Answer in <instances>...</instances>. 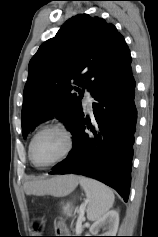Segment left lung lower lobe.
Returning <instances> with one entry per match:
<instances>
[{"instance_id": "0a47b994", "label": "left lung lower lobe", "mask_w": 158, "mask_h": 237, "mask_svg": "<svg viewBox=\"0 0 158 237\" xmlns=\"http://www.w3.org/2000/svg\"><path fill=\"white\" fill-rule=\"evenodd\" d=\"M131 64V63H130ZM124 66L93 95L94 120L80 121L73 149L50 174H79L114 188L126 202L130 193L134 133L137 122L135 80ZM91 133H85V129Z\"/></svg>"}]
</instances>
